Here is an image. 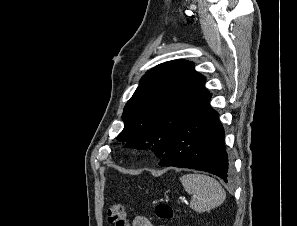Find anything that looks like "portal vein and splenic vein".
I'll return each instance as SVG.
<instances>
[{
	"label": "portal vein and splenic vein",
	"instance_id": "portal-vein-and-splenic-vein-1",
	"mask_svg": "<svg viewBox=\"0 0 297 226\" xmlns=\"http://www.w3.org/2000/svg\"><path fill=\"white\" fill-rule=\"evenodd\" d=\"M181 202L183 203V202H185V200L184 199H181Z\"/></svg>",
	"mask_w": 297,
	"mask_h": 226
}]
</instances>
